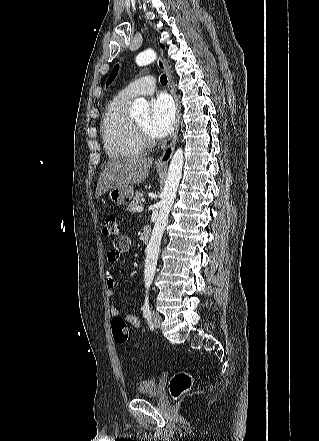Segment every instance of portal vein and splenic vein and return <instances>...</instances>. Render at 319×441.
Instances as JSON below:
<instances>
[{
    "instance_id": "portal-vein-and-splenic-vein-1",
    "label": "portal vein and splenic vein",
    "mask_w": 319,
    "mask_h": 441,
    "mask_svg": "<svg viewBox=\"0 0 319 441\" xmlns=\"http://www.w3.org/2000/svg\"><path fill=\"white\" fill-rule=\"evenodd\" d=\"M136 211H137V212H142V211H143V207H142V206H138V207L136 208Z\"/></svg>"
}]
</instances>
